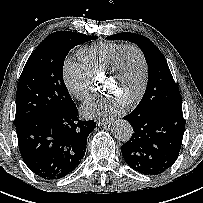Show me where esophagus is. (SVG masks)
<instances>
[{
	"mask_svg": "<svg viewBox=\"0 0 203 203\" xmlns=\"http://www.w3.org/2000/svg\"><path fill=\"white\" fill-rule=\"evenodd\" d=\"M113 121L112 120H99L97 121L98 126H106L111 124Z\"/></svg>",
	"mask_w": 203,
	"mask_h": 203,
	"instance_id": "esophagus-1",
	"label": "esophagus"
}]
</instances>
